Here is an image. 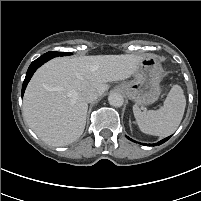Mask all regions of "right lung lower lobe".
<instances>
[{"mask_svg":"<svg viewBox=\"0 0 201 201\" xmlns=\"http://www.w3.org/2000/svg\"><path fill=\"white\" fill-rule=\"evenodd\" d=\"M54 58L52 55H47L44 54L42 56H40L38 59H36L35 61H33L31 63V65L28 68L25 80L23 82V86H22V96L24 94L25 88L29 82V80L31 79L32 75L34 74V72L36 71V69L38 67H40L42 64H44L45 62H47L48 60Z\"/></svg>","mask_w":201,"mask_h":201,"instance_id":"1","label":"right lung lower lobe"}]
</instances>
